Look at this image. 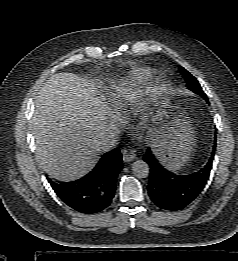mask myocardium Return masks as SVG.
<instances>
[{"instance_id": "1", "label": "myocardium", "mask_w": 238, "mask_h": 261, "mask_svg": "<svg viewBox=\"0 0 238 261\" xmlns=\"http://www.w3.org/2000/svg\"><path fill=\"white\" fill-rule=\"evenodd\" d=\"M155 88H156V91L159 93L164 92L167 89V82L160 80L157 82V85Z\"/></svg>"}]
</instances>
